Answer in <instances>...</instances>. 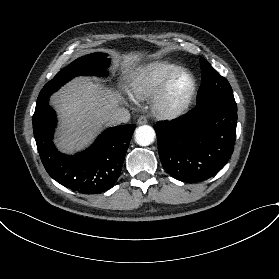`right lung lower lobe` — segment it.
I'll list each match as a JSON object with an SVG mask.
<instances>
[{
    "instance_id": "right-lung-lower-lobe-1",
    "label": "right lung lower lobe",
    "mask_w": 279,
    "mask_h": 279,
    "mask_svg": "<svg viewBox=\"0 0 279 279\" xmlns=\"http://www.w3.org/2000/svg\"><path fill=\"white\" fill-rule=\"evenodd\" d=\"M49 99L36 103L33 131L41 161L61 185L81 194H97L117 181L135 124L107 129L87 150L75 155L59 152L52 143L56 116Z\"/></svg>"
}]
</instances>
